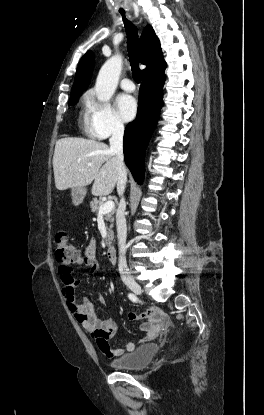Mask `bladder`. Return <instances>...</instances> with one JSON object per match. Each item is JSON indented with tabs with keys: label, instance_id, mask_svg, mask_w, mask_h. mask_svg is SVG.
<instances>
[{
	"label": "bladder",
	"instance_id": "bladder-1",
	"mask_svg": "<svg viewBox=\"0 0 264 415\" xmlns=\"http://www.w3.org/2000/svg\"><path fill=\"white\" fill-rule=\"evenodd\" d=\"M159 351L157 344H146L138 347L120 358L114 359L110 365L117 369L137 370L148 366Z\"/></svg>",
	"mask_w": 264,
	"mask_h": 415
}]
</instances>
